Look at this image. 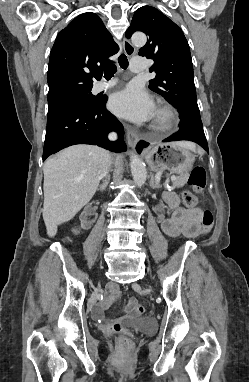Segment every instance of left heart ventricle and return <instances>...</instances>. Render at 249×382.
<instances>
[{"mask_svg": "<svg viewBox=\"0 0 249 382\" xmlns=\"http://www.w3.org/2000/svg\"><path fill=\"white\" fill-rule=\"evenodd\" d=\"M160 115L158 114V113H156V111H155V113H154V115H153V120H160Z\"/></svg>", "mask_w": 249, "mask_h": 382, "instance_id": "obj_1", "label": "left heart ventricle"}]
</instances>
